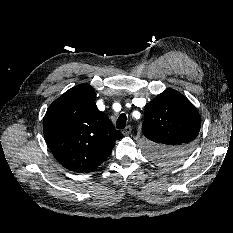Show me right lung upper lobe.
<instances>
[{
    "label": "right lung upper lobe",
    "mask_w": 233,
    "mask_h": 233,
    "mask_svg": "<svg viewBox=\"0 0 233 233\" xmlns=\"http://www.w3.org/2000/svg\"><path fill=\"white\" fill-rule=\"evenodd\" d=\"M95 99L94 89L80 84L55 100L45 114V140L57 161L70 171L95 170L123 137L98 110Z\"/></svg>",
    "instance_id": "obj_1"
}]
</instances>
